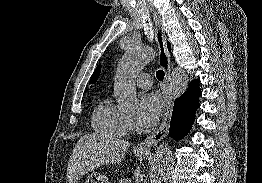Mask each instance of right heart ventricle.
<instances>
[{"instance_id": "obj_1", "label": "right heart ventricle", "mask_w": 262, "mask_h": 183, "mask_svg": "<svg viewBox=\"0 0 262 183\" xmlns=\"http://www.w3.org/2000/svg\"><path fill=\"white\" fill-rule=\"evenodd\" d=\"M91 124L97 133L108 137L121 138L129 131L128 117L108 98L95 106Z\"/></svg>"}]
</instances>
